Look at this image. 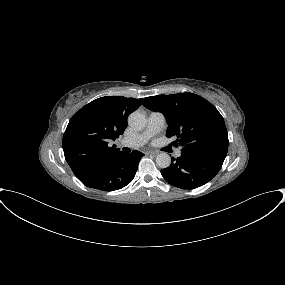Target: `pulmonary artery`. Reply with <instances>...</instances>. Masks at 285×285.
<instances>
[{
	"instance_id": "e3ab8cb5",
	"label": "pulmonary artery",
	"mask_w": 285,
	"mask_h": 285,
	"mask_svg": "<svg viewBox=\"0 0 285 285\" xmlns=\"http://www.w3.org/2000/svg\"><path fill=\"white\" fill-rule=\"evenodd\" d=\"M166 126V118L160 112H152L148 118L146 128L131 137H124L119 144L123 147L138 148L146 144L153 136L159 134ZM180 152L177 153L179 155Z\"/></svg>"
}]
</instances>
